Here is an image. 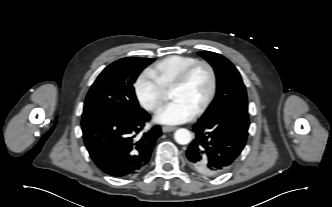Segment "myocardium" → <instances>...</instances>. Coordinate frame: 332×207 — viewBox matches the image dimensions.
Returning a JSON list of instances; mask_svg holds the SVG:
<instances>
[{
    "label": "myocardium",
    "instance_id": "f54148a6",
    "mask_svg": "<svg viewBox=\"0 0 332 207\" xmlns=\"http://www.w3.org/2000/svg\"><path fill=\"white\" fill-rule=\"evenodd\" d=\"M201 66L205 67L207 69L208 73H209L210 88H209V91H208V94H207L206 98L204 99L202 104L195 111V115L202 114L210 106L211 102L213 101V99L215 97V94H216V91H217L218 79H217L216 71H215L214 67L212 66V64L209 63L208 61H205V60H197V61L193 62L192 64L187 66L177 76V78L174 80V82L170 86V90L174 89V88L182 87L187 82V80L189 79L191 74L194 72V70L198 67H201Z\"/></svg>",
    "mask_w": 332,
    "mask_h": 207
}]
</instances>
